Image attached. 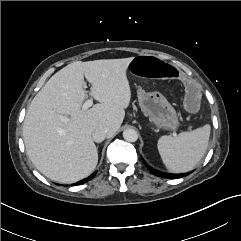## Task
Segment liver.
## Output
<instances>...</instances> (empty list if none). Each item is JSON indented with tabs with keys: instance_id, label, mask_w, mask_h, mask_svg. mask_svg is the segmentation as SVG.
Wrapping results in <instances>:
<instances>
[{
	"instance_id": "liver-1",
	"label": "liver",
	"mask_w": 241,
	"mask_h": 241,
	"mask_svg": "<svg viewBox=\"0 0 241 241\" xmlns=\"http://www.w3.org/2000/svg\"><path fill=\"white\" fill-rule=\"evenodd\" d=\"M133 57L73 62L55 73L32 100L23 123L26 152L47 178L74 183L88 177L98 163L92 134L108 137L121 127L131 100L126 75ZM84 76L99 103L83 110ZM61 116H69L67 122Z\"/></svg>"
}]
</instances>
